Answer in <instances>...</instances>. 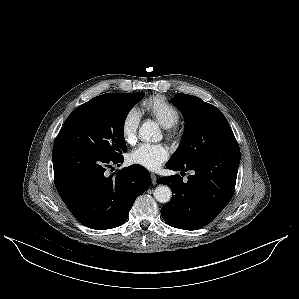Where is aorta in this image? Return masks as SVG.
I'll return each mask as SVG.
<instances>
[{
    "instance_id": "obj_1",
    "label": "aorta",
    "mask_w": 299,
    "mask_h": 299,
    "mask_svg": "<svg viewBox=\"0 0 299 299\" xmlns=\"http://www.w3.org/2000/svg\"><path fill=\"white\" fill-rule=\"evenodd\" d=\"M139 137L145 142H157L161 139L162 134L157 123L153 121H146L139 128ZM171 196L172 191L166 185H159L154 190V197L160 203H168Z\"/></svg>"
}]
</instances>
